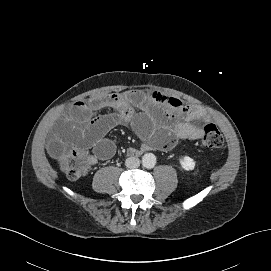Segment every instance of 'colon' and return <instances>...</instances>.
<instances>
[{
  "instance_id": "colon-1",
  "label": "colon",
  "mask_w": 271,
  "mask_h": 271,
  "mask_svg": "<svg viewBox=\"0 0 271 271\" xmlns=\"http://www.w3.org/2000/svg\"><path fill=\"white\" fill-rule=\"evenodd\" d=\"M202 129V143L207 148H219L224 139L221 132L213 124L206 120L200 123ZM91 158L80 149L72 150L60 160V167L70 179H78L85 176L90 168Z\"/></svg>"
}]
</instances>
